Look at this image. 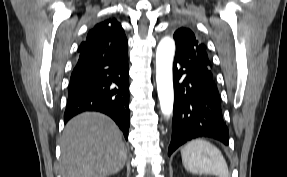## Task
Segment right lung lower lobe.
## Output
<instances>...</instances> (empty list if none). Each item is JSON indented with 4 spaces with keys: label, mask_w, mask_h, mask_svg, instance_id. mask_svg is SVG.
Here are the masks:
<instances>
[{
    "label": "right lung lower lobe",
    "mask_w": 287,
    "mask_h": 177,
    "mask_svg": "<svg viewBox=\"0 0 287 177\" xmlns=\"http://www.w3.org/2000/svg\"><path fill=\"white\" fill-rule=\"evenodd\" d=\"M70 78L64 121L84 111L110 116L128 137L130 127L127 39L124 31L88 33Z\"/></svg>",
    "instance_id": "98d812e1"
}]
</instances>
